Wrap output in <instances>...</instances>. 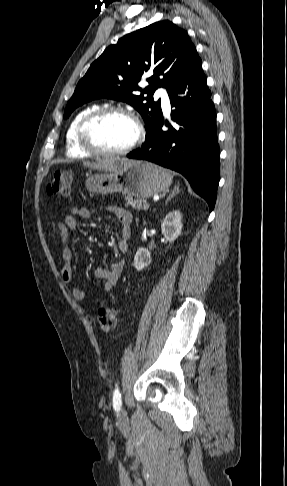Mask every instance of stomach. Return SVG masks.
<instances>
[{"instance_id": "obj_1", "label": "stomach", "mask_w": 287, "mask_h": 486, "mask_svg": "<svg viewBox=\"0 0 287 486\" xmlns=\"http://www.w3.org/2000/svg\"><path fill=\"white\" fill-rule=\"evenodd\" d=\"M171 184V176L161 167L133 161L123 164L112 172L90 175L86 188L97 194L120 192L138 199L149 198L166 191Z\"/></svg>"}]
</instances>
